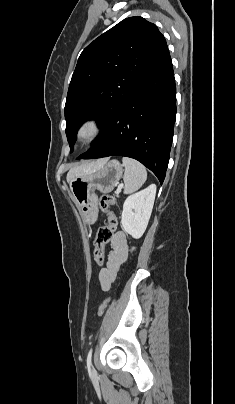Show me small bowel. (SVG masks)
<instances>
[{
    "label": "small bowel",
    "instance_id": "c3829d8e",
    "mask_svg": "<svg viewBox=\"0 0 235 404\" xmlns=\"http://www.w3.org/2000/svg\"><path fill=\"white\" fill-rule=\"evenodd\" d=\"M128 257L126 235L122 231L116 232L111 239V251L108 254L104 268L99 272L98 279L103 291L110 290L122 264Z\"/></svg>",
    "mask_w": 235,
    "mask_h": 404
}]
</instances>
